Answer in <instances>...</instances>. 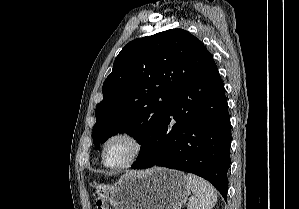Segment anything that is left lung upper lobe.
Listing matches in <instances>:
<instances>
[{"instance_id":"5c2ea615","label":"left lung upper lobe","mask_w":299,"mask_h":209,"mask_svg":"<svg viewBox=\"0 0 299 209\" xmlns=\"http://www.w3.org/2000/svg\"><path fill=\"white\" fill-rule=\"evenodd\" d=\"M212 59L203 43L182 29L129 42L103 83L92 134L95 148L125 132L141 144V154L170 99Z\"/></svg>"}]
</instances>
